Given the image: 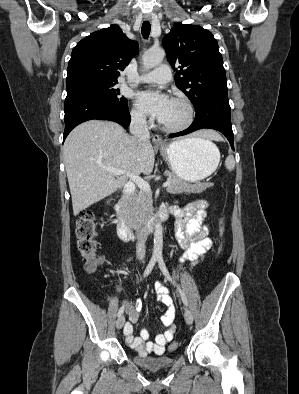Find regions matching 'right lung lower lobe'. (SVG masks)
I'll return each mask as SVG.
<instances>
[{
  "mask_svg": "<svg viewBox=\"0 0 299 394\" xmlns=\"http://www.w3.org/2000/svg\"><path fill=\"white\" fill-rule=\"evenodd\" d=\"M64 111V140L74 127L87 120H110L124 128L131 120L127 104L117 106L105 97L91 94L66 97Z\"/></svg>",
  "mask_w": 299,
  "mask_h": 394,
  "instance_id": "obj_1",
  "label": "right lung lower lobe"
}]
</instances>
